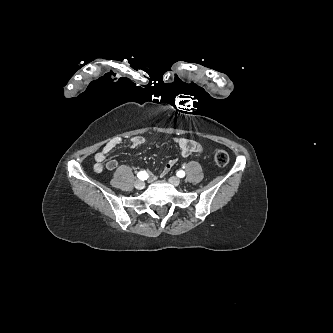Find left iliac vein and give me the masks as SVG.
Here are the masks:
<instances>
[{"instance_id":"left-iliac-vein-1","label":"left iliac vein","mask_w":333,"mask_h":333,"mask_svg":"<svg viewBox=\"0 0 333 333\" xmlns=\"http://www.w3.org/2000/svg\"><path fill=\"white\" fill-rule=\"evenodd\" d=\"M169 182L174 186H179L180 183H181L180 179L178 177H175V176L170 177Z\"/></svg>"}]
</instances>
